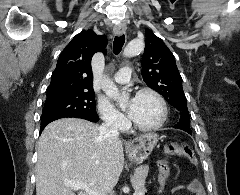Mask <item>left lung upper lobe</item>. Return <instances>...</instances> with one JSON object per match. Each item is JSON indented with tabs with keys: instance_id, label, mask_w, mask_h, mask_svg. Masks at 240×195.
Masks as SVG:
<instances>
[{
	"instance_id": "5c2ea615",
	"label": "left lung upper lobe",
	"mask_w": 240,
	"mask_h": 195,
	"mask_svg": "<svg viewBox=\"0 0 240 195\" xmlns=\"http://www.w3.org/2000/svg\"><path fill=\"white\" fill-rule=\"evenodd\" d=\"M146 46L142 56V77L145 83L160 93L179 113L174 128L191 134L187 101L183 92L182 77L169 48L151 30H145Z\"/></svg>"
}]
</instances>
